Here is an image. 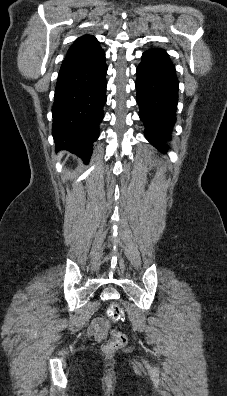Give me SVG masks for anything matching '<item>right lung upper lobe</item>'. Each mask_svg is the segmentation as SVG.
<instances>
[{"label":"right lung upper lobe","instance_id":"1","mask_svg":"<svg viewBox=\"0 0 227 396\" xmlns=\"http://www.w3.org/2000/svg\"><path fill=\"white\" fill-rule=\"evenodd\" d=\"M92 41L94 42V41H97V40H96V38L93 37L92 35H85V36H82V37L78 38V39L74 42V44L85 43V42H92Z\"/></svg>","mask_w":227,"mask_h":396}]
</instances>
